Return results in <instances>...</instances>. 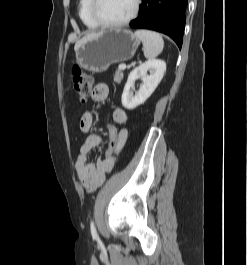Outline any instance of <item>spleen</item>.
<instances>
[{
    "label": "spleen",
    "mask_w": 247,
    "mask_h": 265,
    "mask_svg": "<svg viewBox=\"0 0 247 265\" xmlns=\"http://www.w3.org/2000/svg\"><path fill=\"white\" fill-rule=\"evenodd\" d=\"M134 35L142 41L144 56L147 59H153L162 52L164 41L160 34L141 29L135 31Z\"/></svg>",
    "instance_id": "spleen-1"
}]
</instances>
